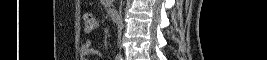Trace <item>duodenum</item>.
I'll list each match as a JSON object with an SVG mask.
<instances>
[{
    "label": "duodenum",
    "instance_id": "410a0bca",
    "mask_svg": "<svg viewBox=\"0 0 267 60\" xmlns=\"http://www.w3.org/2000/svg\"><path fill=\"white\" fill-rule=\"evenodd\" d=\"M109 16L113 21H116L118 19V8H111L109 10Z\"/></svg>",
    "mask_w": 267,
    "mask_h": 60
}]
</instances>
